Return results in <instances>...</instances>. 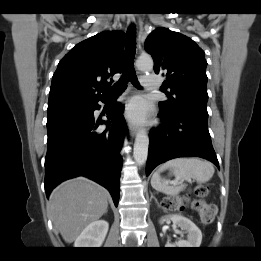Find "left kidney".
I'll use <instances>...</instances> for the list:
<instances>
[{"mask_svg": "<svg viewBox=\"0 0 261 261\" xmlns=\"http://www.w3.org/2000/svg\"><path fill=\"white\" fill-rule=\"evenodd\" d=\"M166 220H171L174 225H177L181 230L187 233V240H179L176 243H166L168 248H198L202 241L201 230L188 218L181 215H171L160 220L163 223Z\"/></svg>", "mask_w": 261, "mask_h": 261, "instance_id": "left-kidney-1", "label": "left kidney"}]
</instances>
